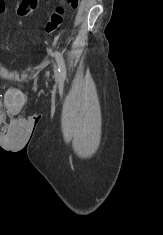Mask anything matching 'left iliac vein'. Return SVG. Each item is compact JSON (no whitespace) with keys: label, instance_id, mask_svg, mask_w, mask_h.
<instances>
[{"label":"left iliac vein","instance_id":"4c4485c4","mask_svg":"<svg viewBox=\"0 0 163 235\" xmlns=\"http://www.w3.org/2000/svg\"><path fill=\"white\" fill-rule=\"evenodd\" d=\"M54 72H55L56 78H58V71H57V67L56 66H54Z\"/></svg>","mask_w":163,"mask_h":235}]
</instances>
